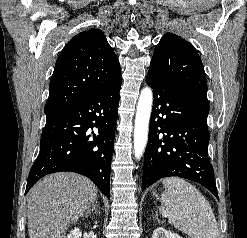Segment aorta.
Returning <instances> with one entry per match:
<instances>
[{
	"label": "aorta",
	"mask_w": 247,
	"mask_h": 238,
	"mask_svg": "<svg viewBox=\"0 0 247 238\" xmlns=\"http://www.w3.org/2000/svg\"><path fill=\"white\" fill-rule=\"evenodd\" d=\"M152 102V90L146 87L141 91L135 116L134 155L137 159H140L147 145Z\"/></svg>",
	"instance_id": "762f6f07"
}]
</instances>
